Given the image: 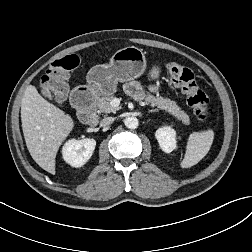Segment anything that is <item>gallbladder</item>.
<instances>
[{"instance_id": "gallbladder-1", "label": "gallbladder", "mask_w": 252, "mask_h": 252, "mask_svg": "<svg viewBox=\"0 0 252 252\" xmlns=\"http://www.w3.org/2000/svg\"><path fill=\"white\" fill-rule=\"evenodd\" d=\"M41 93L44 97L52 100L53 96L51 94V92L49 91V89L47 87H43L42 90H41Z\"/></svg>"}]
</instances>
